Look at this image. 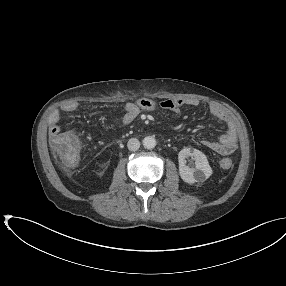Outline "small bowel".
<instances>
[{
    "mask_svg": "<svg viewBox=\"0 0 286 286\" xmlns=\"http://www.w3.org/2000/svg\"><path fill=\"white\" fill-rule=\"evenodd\" d=\"M198 104L199 102L196 99H167L157 103L148 98H140L136 102H129L124 105V114L121 123L123 126L129 125L144 111L162 110L175 116H179L183 106H197ZM77 108L78 104L76 102H69L63 105L60 110H55L51 113L49 119V133L51 137L58 134L60 131L58 125L60 114L72 113L77 110ZM209 112L213 117L225 124L226 131L217 141L202 140V146L220 155L227 156L232 154L237 148V134L232 117L226 110L216 104H211L209 106Z\"/></svg>",
    "mask_w": 286,
    "mask_h": 286,
    "instance_id": "obj_1",
    "label": "small bowel"
}]
</instances>
